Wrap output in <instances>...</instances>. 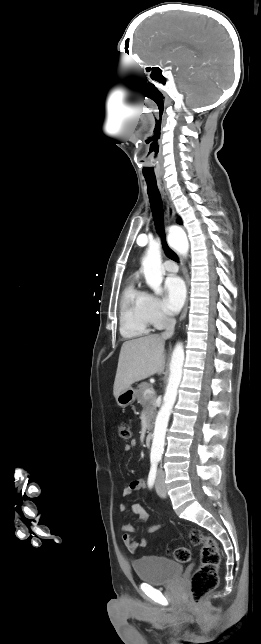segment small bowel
<instances>
[{"mask_svg": "<svg viewBox=\"0 0 261 644\" xmlns=\"http://www.w3.org/2000/svg\"><path fill=\"white\" fill-rule=\"evenodd\" d=\"M136 445L135 441H132L129 444H126L124 446V451L129 452L131 449ZM146 487V482L143 479H136L132 480L127 486L124 487L122 491V495L124 497H128L132 495L134 492L143 490ZM131 510L133 514H135L140 521H145L148 518V513L146 509L140 505V504H133L131 507ZM120 511L125 512L126 511V506L124 504L120 505ZM162 528V525L160 524H151L147 527V532L149 533H155L158 530ZM122 531L124 532L123 534V541L126 547L130 552H136L138 548L140 547H146L149 543L148 539L146 538H140L139 540H136L132 533L135 531L134 526L131 523H124L122 525Z\"/></svg>", "mask_w": 261, "mask_h": 644, "instance_id": "c3829d8e", "label": "small bowel"}]
</instances>
